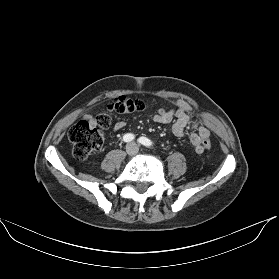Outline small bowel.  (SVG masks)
<instances>
[{"instance_id":"1","label":"small bowel","mask_w":279,"mask_h":279,"mask_svg":"<svg viewBox=\"0 0 279 279\" xmlns=\"http://www.w3.org/2000/svg\"><path fill=\"white\" fill-rule=\"evenodd\" d=\"M190 106L187 102L183 100H178L176 102V108L174 109H160L154 116V121L168 125L173 123V133L176 137L182 138L185 136V128L188 125L192 126V132L190 134V142L194 146L195 152L201 154L205 151L203 144L204 139H209V130L201 123L194 121L191 115ZM87 120L94 122L95 118L91 115H87ZM126 126L124 121L117 122L113 131H119Z\"/></svg>"}]
</instances>
